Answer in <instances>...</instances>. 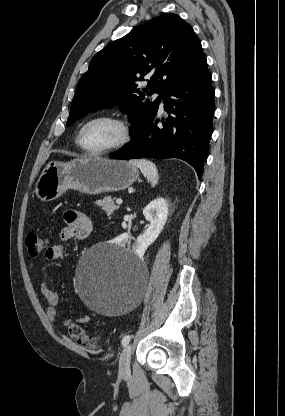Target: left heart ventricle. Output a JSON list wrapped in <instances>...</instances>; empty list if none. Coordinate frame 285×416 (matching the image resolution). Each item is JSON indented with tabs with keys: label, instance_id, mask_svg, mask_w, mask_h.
Returning a JSON list of instances; mask_svg holds the SVG:
<instances>
[{
	"label": "left heart ventricle",
	"instance_id": "1",
	"mask_svg": "<svg viewBox=\"0 0 285 416\" xmlns=\"http://www.w3.org/2000/svg\"><path fill=\"white\" fill-rule=\"evenodd\" d=\"M119 139L117 127L108 121H95L83 131L82 143L90 150H101L113 146Z\"/></svg>",
	"mask_w": 285,
	"mask_h": 416
}]
</instances>
